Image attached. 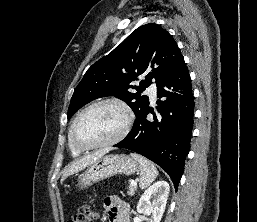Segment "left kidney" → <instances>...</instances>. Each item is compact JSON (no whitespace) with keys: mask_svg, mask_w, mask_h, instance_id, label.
Segmentation results:
<instances>
[{"mask_svg":"<svg viewBox=\"0 0 257 222\" xmlns=\"http://www.w3.org/2000/svg\"><path fill=\"white\" fill-rule=\"evenodd\" d=\"M169 191L170 187L166 181H157L141 196L137 205V212L140 214L152 213L153 222H160L165 211Z\"/></svg>","mask_w":257,"mask_h":222,"instance_id":"left-kidney-1","label":"left kidney"}]
</instances>
